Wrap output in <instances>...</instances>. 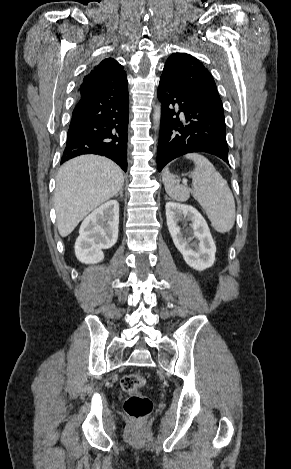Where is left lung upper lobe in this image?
I'll use <instances>...</instances> for the list:
<instances>
[{
	"instance_id": "obj_1",
	"label": "left lung upper lobe",
	"mask_w": 291,
	"mask_h": 469,
	"mask_svg": "<svg viewBox=\"0 0 291 469\" xmlns=\"http://www.w3.org/2000/svg\"><path fill=\"white\" fill-rule=\"evenodd\" d=\"M161 78L223 107L212 75L197 58L189 54H172L165 63Z\"/></svg>"
}]
</instances>
